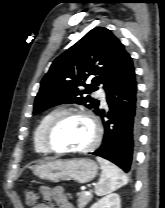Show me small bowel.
Here are the masks:
<instances>
[{"mask_svg": "<svg viewBox=\"0 0 165 208\" xmlns=\"http://www.w3.org/2000/svg\"><path fill=\"white\" fill-rule=\"evenodd\" d=\"M40 194L45 203L33 205L31 208H53L52 203L58 208H74V206L68 200L64 189L60 186H41Z\"/></svg>", "mask_w": 165, "mask_h": 208, "instance_id": "obj_1", "label": "small bowel"}]
</instances>
